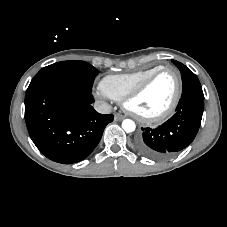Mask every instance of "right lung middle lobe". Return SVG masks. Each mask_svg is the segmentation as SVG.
<instances>
[{
    "instance_id": "1",
    "label": "right lung middle lobe",
    "mask_w": 227,
    "mask_h": 227,
    "mask_svg": "<svg viewBox=\"0 0 227 227\" xmlns=\"http://www.w3.org/2000/svg\"><path fill=\"white\" fill-rule=\"evenodd\" d=\"M98 73L96 68L85 61H62L42 68L34 76L29 86L48 80H61L91 91Z\"/></svg>"
}]
</instances>
